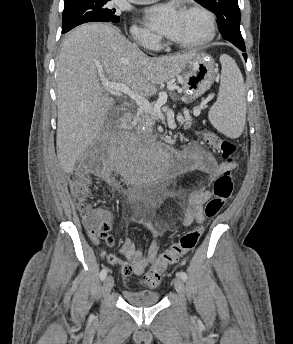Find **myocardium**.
<instances>
[{
  "label": "myocardium",
  "instance_id": "1",
  "mask_svg": "<svg viewBox=\"0 0 293 344\" xmlns=\"http://www.w3.org/2000/svg\"><path fill=\"white\" fill-rule=\"evenodd\" d=\"M181 11L183 12H198L200 13L206 21V33L199 39L193 40V41H187V42H181V41H172L168 40V44L170 46L176 47V48H181V49H194V48H199L202 46L207 45L210 43L217 31V26H216V19L212 11H210L208 8L201 4L193 3V4H188L184 6Z\"/></svg>",
  "mask_w": 293,
  "mask_h": 344
}]
</instances>
